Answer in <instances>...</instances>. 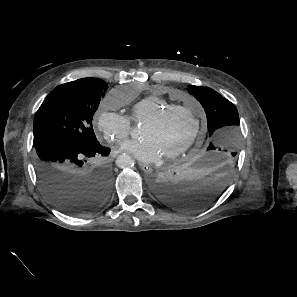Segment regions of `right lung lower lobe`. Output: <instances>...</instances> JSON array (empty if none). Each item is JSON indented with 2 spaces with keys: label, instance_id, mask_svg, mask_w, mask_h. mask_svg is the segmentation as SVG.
Listing matches in <instances>:
<instances>
[{
  "label": "right lung lower lobe",
  "instance_id": "obj_1",
  "mask_svg": "<svg viewBox=\"0 0 297 297\" xmlns=\"http://www.w3.org/2000/svg\"><path fill=\"white\" fill-rule=\"evenodd\" d=\"M35 169L47 198L61 211L85 215L98 210L110 193L111 173L105 164L91 165L94 157L107 156L110 149L83 146L64 138L33 145Z\"/></svg>",
  "mask_w": 297,
  "mask_h": 297
}]
</instances>
